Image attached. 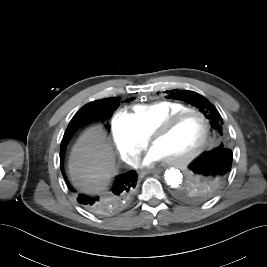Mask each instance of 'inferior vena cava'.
Segmentation results:
<instances>
[{"mask_svg": "<svg viewBox=\"0 0 267 267\" xmlns=\"http://www.w3.org/2000/svg\"><path fill=\"white\" fill-rule=\"evenodd\" d=\"M129 164L133 167L137 168L139 166V160L138 158H130Z\"/></svg>", "mask_w": 267, "mask_h": 267, "instance_id": "602c4592", "label": "inferior vena cava"}]
</instances>
